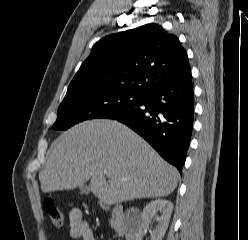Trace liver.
I'll use <instances>...</instances> for the list:
<instances>
[{
    "label": "liver",
    "instance_id": "obj_1",
    "mask_svg": "<svg viewBox=\"0 0 248 240\" xmlns=\"http://www.w3.org/2000/svg\"><path fill=\"white\" fill-rule=\"evenodd\" d=\"M39 180L44 193L90 180L99 201L112 205L167 196L177 187L179 172L122 123L96 119L73 126L53 142Z\"/></svg>",
    "mask_w": 248,
    "mask_h": 240
}]
</instances>
